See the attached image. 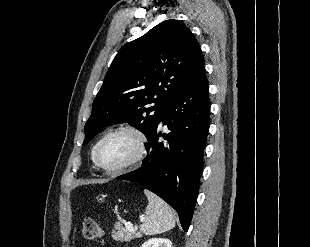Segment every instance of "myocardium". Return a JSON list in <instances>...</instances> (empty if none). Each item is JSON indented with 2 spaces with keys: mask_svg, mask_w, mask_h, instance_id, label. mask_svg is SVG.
I'll use <instances>...</instances> for the list:
<instances>
[{
  "mask_svg": "<svg viewBox=\"0 0 310 247\" xmlns=\"http://www.w3.org/2000/svg\"><path fill=\"white\" fill-rule=\"evenodd\" d=\"M118 133H129L135 137L137 145L136 152L130 160L117 167L112 168L105 167L100 163L98 158L100 148L107 139ZM146 153H147V137L145 133L137 126L131 124H124L110 130L99 140L93 152V161L97 167H99L108 174H120L137 166L144 159Z\"/></svg>",
  "mask_w": 310,
  "mask_h": 247,
  "instance_id": "obj_1",
  "label": "myocardium"
}]
</instances>
